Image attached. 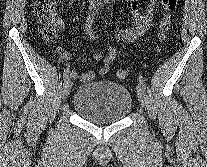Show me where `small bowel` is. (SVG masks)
<instances>
[{
	"mask_svg": "<svg viewBox=\"0 0 207 167\" xmlns=\"http://www.w3.org/2000/svg\"><path fill=\"white\" fill-rule=\"evenodd\" d=\"M126 1L128 3L131 14L135 18V24L132 27V29L128 31H123V30L117 31L116 36L121 41L132 42L148 30L154 14V8L158 0H148L147 8L143 12L139 10L136 0H126ZM96 5L97 4L95 1L91 2L89 6L86 24H85V32L90 39H96V35L92 27ZM57 27L59 29H63L64 25L61 21H58ZM116 56H117V49L114 46L110 45L107 47L105 54L93 55L94 60L102 62V65L98 70L90 71L87 73H79L76 70H72L70 72V76L73 79L83 82L91 81L97 76H103L109 72L111 64L116 58Z\"/></svg>",
	"mask_w": 207,
	"mask_h": 167,
	"instance_id": "c3829d8e",
	"label": "small bowel"
}]
</instances>
